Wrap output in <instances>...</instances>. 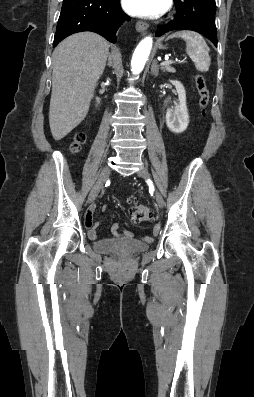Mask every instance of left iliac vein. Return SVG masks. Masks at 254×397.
<instances>
[{
    "instance_id": "1",
    "label": "left iliac vein",
    "mask_w": 254,
    "mask_h": 397,
    "mask_svg": "<svg viewBox=\"0 0 254 397\" xmlns=\"http://www.w3.org/2000/svg\"><path fill=\"white\" fill-rule=\"evenodd\" d=\"M137 175L139 177H142L145 180H148L150 178L149 172L147 171L146 168H141L137 172ZM155 199H156V202H157L158 206L160 208H163L165 202H164V199H163L162 195L157 190L155 191Z\"/></svg>"
}]
</instances>
